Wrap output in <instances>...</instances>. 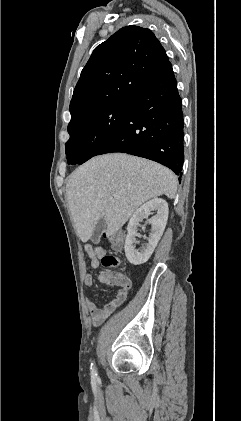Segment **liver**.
Returning <instances> with one entry per match:
<instances>
[{"label":"liver","mask_w":241,"mask_h":421,"mask_svg":"<svg viewBox=\"0 0 241 421\" xmlns=\"http://www.w3.org/2000/svg\"><path fill=\"white\" fill-rule=\"evenodd\" d=\"M178 180L168 168L123 153L97 156L70 176L66 197L77 236L87 242L100 218L114 235L145 201L175 198ZM118 194V198H114Z\"/></svg>","instance_id":"liver-1"}]
</instances>
